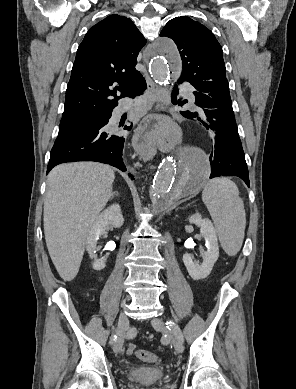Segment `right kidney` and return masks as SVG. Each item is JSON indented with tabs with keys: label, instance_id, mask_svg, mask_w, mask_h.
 <instances>
[{
	"label": "right kidney",
	"instance_id": "right-kidney-1",
	"mask_svg": "<svg viewBox=\"0 0 296 389\" xmlns=\"http://www.w3.org/2000/svg\"><path fill=\"white\" fill-rule=\"evenodd\" d=\"M124 223V218L121 213V207L115 203L106 208L93 223L86 240V250L91 258H94L92 268L96 271H100L105 268L107 256L96 259L97 240L105 233L106 227L111 226L114 228H120Z\"/></svg>",
	"mask_w": 296,
	"mask_h": 389
}]
</instances>
